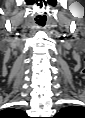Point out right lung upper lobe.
<instances>
[{
  "label": "right lung upper lobe",
  "mask_w": 85,
  "mask_h": 118,
  "mask_svg": "<svg viewBox=\"0 0 85 118\" xmlns=\"http://www.w3.org/2000/svg\"><path fill=\"white\" fill-rule=\"evenodd\" d=\"M9 112L21 114L23 111L17 109H8Z\"/></svg>",
  "instance_id": "right-lung-upper-lobe-1"
}]
</instances>
